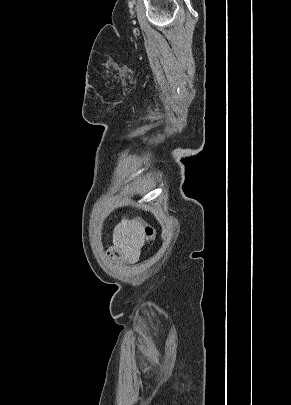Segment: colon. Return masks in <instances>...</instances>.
Returning <instances> with one entry per match:
<instances>
[{"instance_id":"obj_1","label":"colon","mask_w":291,"mask_h":405,"mask_svg":"<svg viewBox=\"0 0 291 405\" xmlns=\"http://www.w3.org/2000/svg\"><path fill=\"white\" fill-rule=\"evenodd\" d=\"M144 237L147 240H153L155 238V230L152 226L146 225L143 228Z\"/></svg>"}]
</instances>
